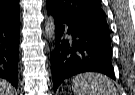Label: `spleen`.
<instances>
[{
  "label": "spleen",
  "mask_w": 135,
  "mask_h": 95,
  "mask_svg": "<svg viewBox=\"0 0 135 95\" xmlns=\"http://www.w3.org/2000/svg\"><path fill=\"white\" fill-rule=\"evenodd\" d=\"M74 95H116L113 82L105 75L85 73L72 81Z\"/></svg>",
  "instance_id": "spleen-1"
}]
</instances>
